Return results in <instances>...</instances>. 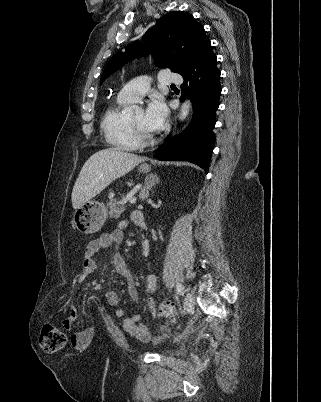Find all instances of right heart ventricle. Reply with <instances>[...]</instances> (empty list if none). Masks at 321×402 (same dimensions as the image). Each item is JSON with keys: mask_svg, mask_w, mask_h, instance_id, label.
Returning a JSON list of instances; mask_svg holds the SVG:
<instances>
[{"mask_svg": "<svg viewBox=\"0 0 321 402\" xmlns=\"http://www.w3.org/2000/svg\"><path fill=\"white\" fill-rule=\"evenodd\" d=\"M128 103L117 98L105 110L100 125L108 145L122 151H134L139 148V144L128 128L127 118L122 112Z\"/></svg>", "mask_w": 321, "mask_h": 402, "instance_id": "1", "label": "right heart ventricle"}]
</instances>
